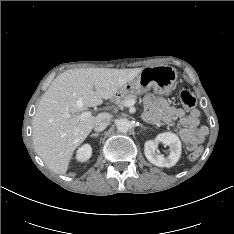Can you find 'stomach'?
I'll list each match as a JSON object with an SVG mask.
<instances>
[{
    "label": "stomach",
    "mask_w": 234,
    "mask_h": 234,
    "mask_svg": "<svg viewBox=\"0 0 234 234\" xmlns=\"http://www.w3.org/2000/svg\"><path fill=\"white\" fill-rule=\"evenodd\" d=\"M175 69L169 66L160 65L145 67L133 80L124 84L117 92L121 97L126 95H140L151 89L161 96H168L176 81Z\"/></svg>",
    "instance_id": "0dacf381"
}]
</instances>
